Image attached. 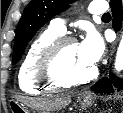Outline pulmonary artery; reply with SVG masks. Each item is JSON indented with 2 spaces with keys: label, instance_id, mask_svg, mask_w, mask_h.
I'll return each instance as SVG.
<instances>
[{
  "label": "pulmonary artery",
  "instance_id": "pulmonary-artery-1",
  "mask_svg": "<svg viewBox=\"0 0 123 113\" xmlns=\"http://www.w3.org/2000/svg\"><path fill=\"white\" fill-rule=\"evenodd\" d=\"M107 10V2L106 1H94L90 4L89 12L91 14H103ZM50 26L52 29L58 32H65L66 25L65 20L62 18H55L51 21Z\"/></svg>",
  "mask_w": 123,
  "mask_h": 113
}]
</instances>
